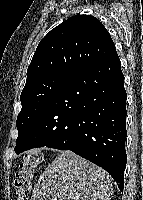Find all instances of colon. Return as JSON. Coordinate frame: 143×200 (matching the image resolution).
Masks as SVG:
<instances>
[{
  "label": "colon",
  "instance_id": "5ec220e1",
  "mask_svg": "<svg viewBox=\"0 0 143 200\" xmlns=\"http://www.w3.org/2000/svg\"><path fill=\"white\" fill-rule=\"evenodd\" d=\"M42 159L43 158L40 153H29L20 163L14 179L16 200H27L32 175L41 164Z\"/></svg>",
  "mask_w": 143,
  "mask_h": 200
}]
</instances>
